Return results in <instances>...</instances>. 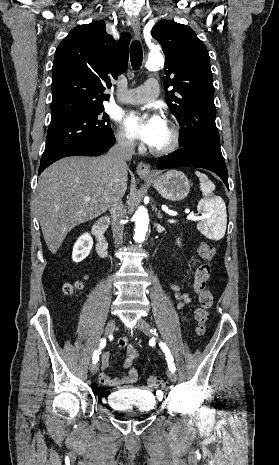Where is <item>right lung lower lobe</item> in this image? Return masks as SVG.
Segmentation results:
<instances>
[{"instance_id": "1", "label": "right lung lower lobe", "mask_w": 279, "mask_h": 465, "mask_svg": "<svg viewBox=\"0 0 279 465\" xmlns=\"http://www.w3.org/2000/svg\"><path fill=\"white\" fill-rule=\"evenodd\" d=\"M115 143V137H113L112 139H110L109 141H106V142H101V143H89V142H83V143H79V144H76L74 146H71L65 150H63L62 152L56 154L55 156H53L52 158H50L49 160L41 163L40 167H39V174L45 169L47 168L49 165H51L52 163H54L55 161L63 158V157H67V156H75V155H79V156H99L103 153H105L106 151H108L112 145H114Z\"/></svg>"}]
</instances>
